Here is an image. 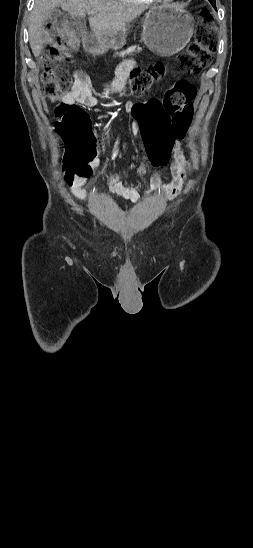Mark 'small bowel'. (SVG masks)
Here are the masks:
<instances>
[{
  "mask_svg": "<svg viewBox=\"0 0 253 548\" xmlns=\"http://www.w3.org/2000/svg\"><path fill=\"white\" fill-rule=\"evenodd\" d=\"M136 69L135 62L126 61L122 63L117 69L116 78L108 89L110 96L116 95L125 83V80L130 76L131 72ZM63 101L66 104H81L88 107H94L99 104L98 99L92 94L90 88V79L88 75L83 71H76L73 73V85L71 90L63 97ZM138 103H127V110L134 113V107ZM171 175L172 181L168 184L162 182V176L159 172L154 173L148 183L149 188L145 192L146 195L153 193L164 194L168 199H174L177 197L184 186L185 173H184V152L182 150L180 137L173 139L171 145ZM101 165V162L95 159L91 168L96 169ZM139 176H144L147 172L145 163H140L136 169ZM88 176H80L74 178L70 182V191L72 195L80 202L86 200V191L84 185ZM108 185L110 192L120 198L125 199L130 203H136L140 199V194L135 187L125 185L118 174H111L108 178Z\"/></svg>",
  "mask_w": 253,
  "mask_h": 548,
  "instance_id": "obj_1",
  "label": "small bowel"
}]
</instances>
